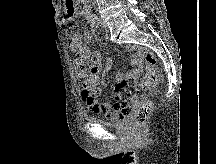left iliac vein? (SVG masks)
<instances>
[{"label": "left iliac vein", "mask_w": 216, "mask_h": 164, "mask_svg": "<svg viewBox=\"0 0 216 164\" xmlns=\"http://www.w3.org/2000/svg\"><path fill=\"white\" fill-rule=\"evenodd\" d=\"M100 23H101V27H102L104 30H106V29H107V24H106V22H105L104 20H101Z\"/></svg>", "instance_id": "obj_1"}]
</instances>
